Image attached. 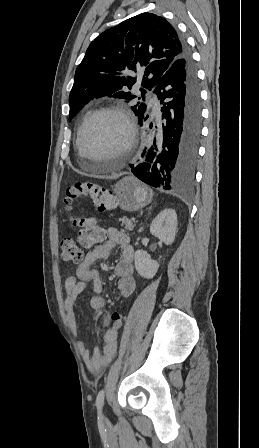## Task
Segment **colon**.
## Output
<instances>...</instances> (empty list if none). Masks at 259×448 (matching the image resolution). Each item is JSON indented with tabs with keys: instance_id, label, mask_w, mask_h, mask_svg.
Here are the masks:
<instances>
[{
	"instance_id": "obj_1",
	"label": "colon",
	"mask_w": 259,
	"mask_h": 448,
	"mask_svg": "<svg viewBox=\"0 0 259 448\" xmlns=\"http://www.w3.org/2000/svg\"><path fill=\"white\" fill-rule=\"evenodd\" d=\"M78 198L92 200L99 211L113 210L117 207V198L109 189L94 180H78L66 190L64 202L71 207ZM74 226L79 228L77 238H65L61 242V257L66 263H78L83 258V247L100 242L104 238V231L94 218L73 217ZM111 326L120 328L123 316L115 311L110 315Z\"/></svg>"
}]
</instances>
